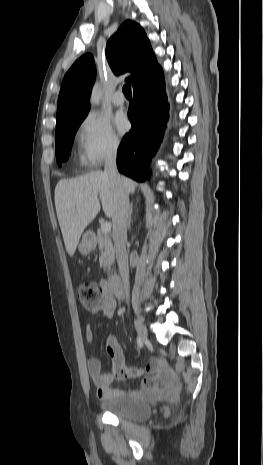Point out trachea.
<instances>
[{"instance_id": "1", "label": "trachea", "mask_w": 263, "mask_h": 465, "mask_svg": "<svg viewBox=\"0 0 263 465\" xmlns=\"http://www.w3.org/2000/svg\"><path fill=\"white\" fill-rule=\"evenodd\" d=\"M123 93L125 96H132V92H131V83H127L123 89H122Z\"/></svg>"}]
</instances>
